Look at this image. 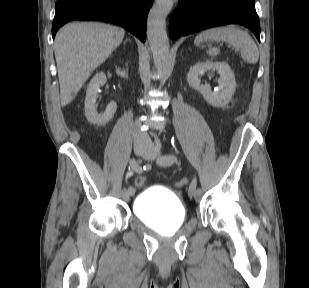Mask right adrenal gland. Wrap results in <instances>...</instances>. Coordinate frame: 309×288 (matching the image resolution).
<instances>
[{"label":"right adrenal gland","mask_w":309,"mask_h":288,"mask_svg":"<svg viewBox=\"0 0 309 288\" xmlns=\"http://www.w3.org/2000/svg\"><path fill=\"white\" fill-rule=\"evenodd\" d=\"M131 42V40L129 38H126L125 42H124V45L126 44V42Z\"/></svg>","instance_id":"2a0ac1e0"}]
</instances>
